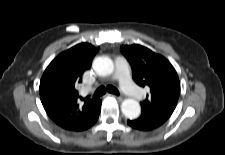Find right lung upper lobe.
I'll return each instance as SVG.
<instances>
[{
  "mask_svg": "<svg viewBox=\"0 0 225 155\" xmlns=\"http://www.w3.org/2000/svg\"><path fill=\"white\" fill-rule=\"evenodd\" d=\"M97 51L89 43L78 44L59 54L41 78L42 105L48 116L66 130L88 129L100 105L99 98L83 99L77 91Z\"/></svg>",
  "mask_w": 225,
  "mask_h": 155,
  "instance_id": "right-lung-upper-lobe-1",
  "label": "right lung upper lobe"
}]
</instances>
